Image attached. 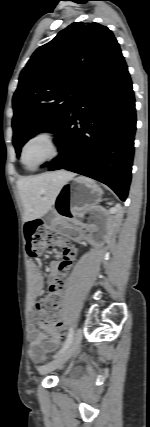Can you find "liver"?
Returning a JSON list of instances; mask_svg holds the SVG:
<instances>
[{"label":"liver","instance_id":"6515ba94","mask_svg":"<svg viewBox=\"0 0 150 427\" xmlns=\"http://www.w3.org/2000/svg\"><path fill=\"white\" fill-rule=\"evenodd\" d=\"M74 177L75 174L60 170L18 180L24 220L30 221L46 214L54 204L61 187Z\"/></svg>","mask_w":150,"mask_h":427}]
</instances>
